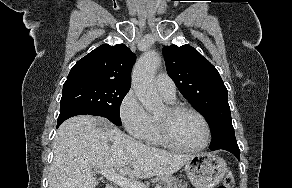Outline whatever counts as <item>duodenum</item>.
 Here are the masks:
<instances>
[{"mask_svg": "<svg viewBox=\"0 0 292 188\" xmlns=\"http://www.w3.org/2000/svg\"><path fill=\"white\" fill-rule=\"evenodd\" d=\"M105 188H116V187H114V186H112V185H108V186H106Z\"/></svg>", "mask_w": 292, "mask_h": 188, "instance_id": "1", "label": "duodenum"}]
</instances>
